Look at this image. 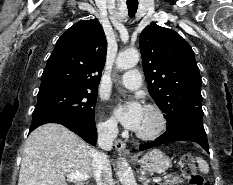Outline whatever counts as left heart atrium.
I'll list each match as a JSON object with an SVG mask.
<instances>
[{
	"mask_svg": "<svg viewBox=\"0 0 233 185\" xmlns=\"http://www.w3.org/2000/svg\"><path fill=\"white\" fill-rule=\"evenodd\" d=\"M144 108L138 101L119 103L114 109L116 119L126 128L137 131L140 126Z\"/></svg>",
	"mask_w": 233,
	"mask_h": 185,
	"instance_id": "left-heart-atrium-1",
	"label": "left heart atrium"
}]
</instances>
